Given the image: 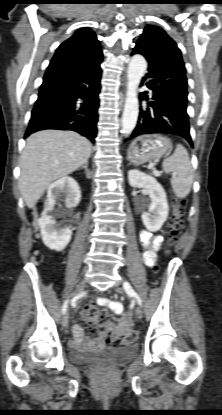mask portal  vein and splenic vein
Segmentation results:
<instances>
[{
  "label": "portal vein and splenic vein",
  "mask_w": 222,
  "mask_h": 415,
  "mask_svg": "<svg viewBox=\"0 0 222 415\" xmlns=\"http://www.w3.org/2000/svg\"><path fill=\"white\" fill-rule=\"evenodd\" d=\"M153 166H154V164H150V165H149V168H151V169H152V168H153ZM154 172H156V171H154ZM174 177H175V176L173 175V178H174Z\"/></svg>",
  "instance_id": "obj_1"
}]
</instances>
